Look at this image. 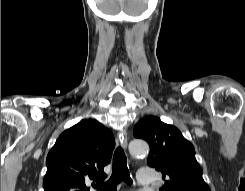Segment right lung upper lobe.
Listing matches in <instances>:
<instances>
[{"label": "right lung upper lobe", "instance_id": "cb5924a9", "mask_svg": "<svg viewBox=\"0 0 245 191\" xmlns=\"http://www.w3.org/2000/svg\"><path fill=\"white\" fill-rule=\"evenodd\" d=\"M115 140L99 122L87 119L64 131L49 151L44 191H89L90 181L106 177Z\"/></svg>", "mask_w": 245, "mask_h": 191}]
</instances>
